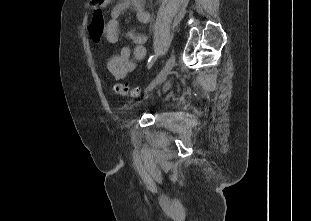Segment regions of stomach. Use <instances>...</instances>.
Segmentation results:
<instances>
[{
  "mask_svg": "<svg viewBox=\"0 0 311 221\" xmlns=\"http://www.w3.org/2000/svg\"><path fill=\"white\" fill-rule=\"evenodd\" d=\"M108 0H95L94 4H97V6H106Z\"/></svg>",
  "mask_w": 311,
  "mask_h": 221,
  "instance_id": "obj_1",
  "label": "stomach"
}]
</instances>
